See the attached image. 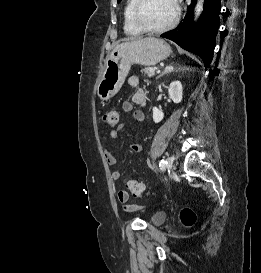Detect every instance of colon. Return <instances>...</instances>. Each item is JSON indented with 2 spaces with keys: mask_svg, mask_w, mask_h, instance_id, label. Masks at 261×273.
I'll return each instance as SVG.
<instances>
[{
  "mask_svg": "<svg viewBox=\"0 0 261 273\" xmlns=\"http://www.w3.org/2000/svg\"><path fill=\"white\" fill-rule=\"evenodd\" d=\"M103 121L108 126L115 127L119 123V113L116 110H109L104 113ZM125 184L129 192L135 197H142L146 194L145 186L136 180L128 179ZM180 217L182 222L187 226L192 225L196 219L194 212L189 208L183 209Z\"/></svg>",
  "mask_w": 261,
  "mask_h": 273,
  "instance_id": "colon-1",
  "label": "colon"
}]
</instances>
